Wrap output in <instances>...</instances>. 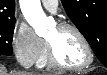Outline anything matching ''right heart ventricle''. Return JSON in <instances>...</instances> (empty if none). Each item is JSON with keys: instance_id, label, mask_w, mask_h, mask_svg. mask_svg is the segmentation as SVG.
<instances>
[{"instance_id": "1", "label": "right heart ventricle", "mask_w": 107, "mask_h": 75, "mask_svg": "<svg viewBox=\"0 0 107 75\" xmlns=\"http://www.w3.org/2000/svg\"><path fill=\"white\" fill-rule=\"evenodd\" d=\"M38 67L43 68L48 66V59H47V47L45 45V49L39 59V61L37 62Z\"/></svg>"}]
</instances>
